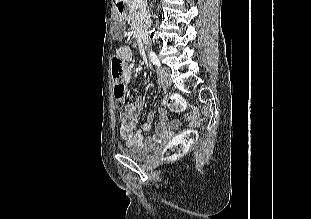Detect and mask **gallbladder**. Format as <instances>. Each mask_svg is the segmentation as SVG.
<instances>
[{
	"label": "gallbladder",
	"instance_id": "gallbladder-1",
	"mask_svg": "<svg viewBox=\"0 0 311 219\" xmlns=\"http://www.w3.org/2000/svg\"><path fill=\"white\" fill-rule=\"evenodd\" d=\"M124 30H125V23H123L122 21H116L111 29V35L113 39L115 40L122 39Z\"/></svg>",
	"mask_w": 311,
	"mask_h": 219
}]
</instances>
